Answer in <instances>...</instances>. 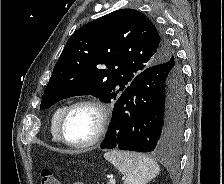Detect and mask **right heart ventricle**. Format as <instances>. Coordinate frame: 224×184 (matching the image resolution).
<instances>
[{"label":"right heart ventricle","instance_id":"e07e8e85","mask_svg":"<svg viewBox=\"0 0 224 184\" xmlns=\"http://www.w3.org/2000/svg\"><path fill=\"white\" fill-rule=\"evenodd\" d=\"M64 109H65L64 105L57 107L54 110L50 120V133L52 136V140L56 143L60 142L59 134H58V123Z\"/></svg>","mask_w":224,"mask_h":184}]
</instances>
